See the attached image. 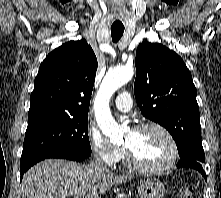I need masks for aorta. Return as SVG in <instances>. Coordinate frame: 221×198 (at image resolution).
<instances>
[{"mask_svg": "<svg viewBox=\"0 0 221 198\" xmlns=\"http://www.w3.org/2000/svg\"><path fill=\"white\" fill-rule=\"evenodd\" d=\"M132 77V67H121L109 70L101 83L94 101L96 121L102 133L114 142L122 139L124 131L112 117L109 101L114 92L128 83Z\"/></svg>", "mask_w": 221, "mask_h": 198, "instance_id": "obj_1", "label": "aorta"}]
</instances>
